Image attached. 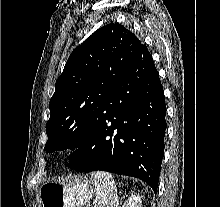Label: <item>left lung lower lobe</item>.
Wrapping results in <instances>:
<instances>
[{
  "label": "left lung lower lobe",
  "instance_id": "0a47b994",
  "mask_svg": "<svg viewBox=\"0 0 220 207\" xmlns=\"http://www.w3.org/2000/svg\"><path fill=\"white\" fill-rule=\"evenodd\" d=\"M165 115L158 71L146 45L141 44L68 166L83 172L100 170L136 177L156 193Z\"/></svg>",
  "mask_w": 220,
  "mask_h": 207
}]
</instances>
